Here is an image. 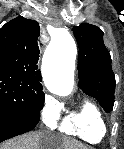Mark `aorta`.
<instances>
[{"label": "aorta", "mask_w": 124, "mask_h": 149, "mask_svg": "<svg viewBox=\"0 0 124 149\" xmlns=\"http://www.w3.org/2000/svg\"><path fill=\"white\" fill-rule=\"evenodd\" d=\"M54 51L56 63L50 65L45 59L42 67L43 81L46 88L53 94L66 96L73 88V73L76 59V45L67 29L58 30Z\"/></svg>", "instance_id": "aorta-1"}]
</instances>
